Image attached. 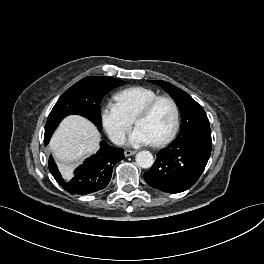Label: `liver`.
<instances>
[{"label":"liver","instance_id":"liver-1","mask_svg":"<svg viewBox=\"0 0 264 264\" xmlns=\"http://www.w3.org/2000/svg\"><path fill=\"white\" fill-rule=\"evenodd\" d=\"M99 142L100 134L91 121L70 115L61 122L52 136L49 149L63 174L69 177L77 163L99 149Z\"/></svg>","mask_w":264,"mask_h":264}]
</instances>
